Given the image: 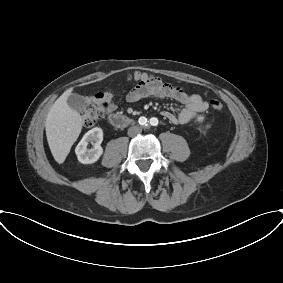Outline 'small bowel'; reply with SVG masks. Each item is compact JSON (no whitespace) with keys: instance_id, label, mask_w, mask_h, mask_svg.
<instances>
[{"instance_id":"1","label":"small bowel","mask_w":283,"mask_h":283,"mask_svg":"<svg viewBox=\"0 0 283 283\" xmlns=\"http://www.w3.org/2000/svg\"><path fill=\"white\" fill-rule=\"evenodd\" d=\"M149 96L171 98L184 105L177 114L170 111H162V116L173 124L189 123L198 113L204 112L208 108V103L200 95L189 94L180 87L163 83H160L157 87H152L149 84L139 82L128 91L125 100L129 103H135ZM87 99L88 101L104 105L106 113H111L117 108L113 101V93L110 91L98 93Z\"/></svg>"}]
</instances>
